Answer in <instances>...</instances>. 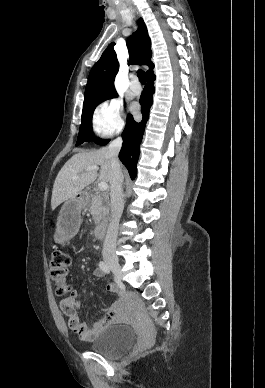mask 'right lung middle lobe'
<instances>
[{
  "label": "right lung middle lobe",
  "instance_id": "right-lung-middle-lobe-1",
  "mask_svg": "<svg viewBox=\"0 0 265 388\" xmlns=\"http://www.w3.org/2000/svg\"><path fill=\"white\" fill-rule=\"evenodd\" d=\"M116 90H110L104 93H100L97 95H94L90 97L87 100H84L83 103V111H82V117H81V125L79 129L78 139H77V145L81 144L82 142H89L91 139H95V142L99 145H106L110 139L103 140L99 138H95L92 130V116L94 109L98 104L101 102L115 98L117 97Z\"/></svg>",
  "mask_w": 265,
  "mask_h": 388
}]
</instances>
